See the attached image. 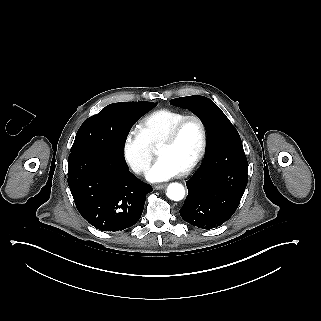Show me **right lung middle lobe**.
I'll return each mask as SVG.
<instances>
[{"instance_id": "dd1d6c3e", "label": "right lung middle lobe", "mask_w": 321, "mask_h": 321, "mask_svg": "<svg viewBox=\"0 0 321 321\" xmlns=\"http://www.w3.org/2000/svg\"><path fill=\"white\" fill-rule=\"evenodd\" d=\"M155 105L153 102H119L104 107L98 114L83 122L76 134L71 153L78 150H100L124 156L127 137L117 131L113 113L124 108H135L143 115Z\"/></svg>"}]
</instances>
